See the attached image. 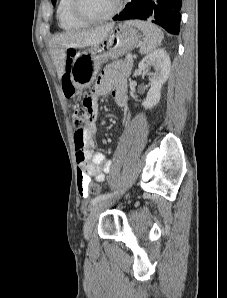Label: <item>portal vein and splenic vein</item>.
<instances>
[{
    "label": "portal vein and splenic vein",
    "instance_id": "portal-vein-and-splenic-vein-1",
    "mask_svg": "<svg viewBox=\"0 0 227 298\" xmlns=\"http://www.w3.org/2000/svg\"><path fill=\"white\" fill-rule=\"evenodd\" d=\"M128 60H132L133 58H132V55H127V57H126Z\"/></svg>",
    "mask_w": 227,
    "mask_h": 298
}]
</instances>
